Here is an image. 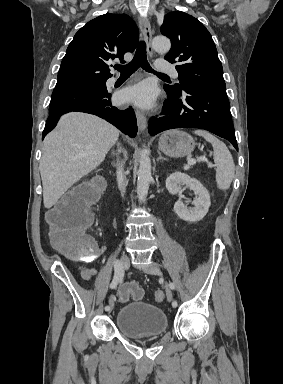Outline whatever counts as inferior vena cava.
Returning a JSON list of instances; mask_svg holds the SVG:
<instances>
[{"mask_svg": "<svg viewBox=\"0 0 283 384\" xmlns=\"http://www.w3.org/2000/svg\"><path fill=\"white\" fill-rule=\"evenodd\" d=\"M123 164H124V162H122V164H118L117 172H116L117 180L119 182V190H120L122 196H124L125 190H126V186H127L126 176L124 174Z\"/></svg>", "mask_w": 283, "mask_h": 384, "instance_id": "1", "label": "inferior vena cava"}]
</instances>
